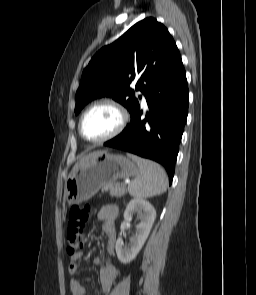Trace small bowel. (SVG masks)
<instances>
[{"label":"small bowel","mask_w":256,"mask_h":295,"mask_svg":"<svg viewBox=\"0 0 256 295\" xmlns=\"http://www.w3.org/2000/svg\"><path fill=\"white\" fill-rule=\"evenodd\" d=\"M118 217V209L115 206H104L98 214L99 221L102 223V229L107 236V251L109 254L114 252L116 242L115 220ZM82 253H77L71 259L68 266V272L71 276L70 289L72 295H85V287L75 278L78 271L77 261L81 258ZM96 265L100 266L99 281L102 292L107 293L111 290L117 278L119 277L118 269L107 260L96 259Z\"/></svg>","instance_id":"1"}]
</instances>
